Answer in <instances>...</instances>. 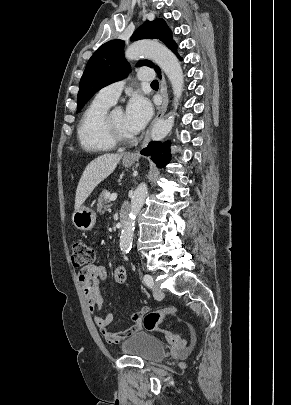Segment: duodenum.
I'll list each match as a JSON object with an SVG mask.
<instances>
[{
	"instance_id": "1",
	"label": "duodenum",
	"mask_w": 291,
	"mask_h": 405,
	"mask_svg": "<svg viewBox=\"0 0 291 405\" xmlns=\"http://www.w3.org/2000/svg\"><path fill=\"white\" fill-rule=\"evenodd\" d=\"M127 211H128V207H127V206H124V207L122 208V210H121V213H120V224H121V227L123 226V224L125 223V221H126V219H127Z\"/></svg>"
}]
</instances>
